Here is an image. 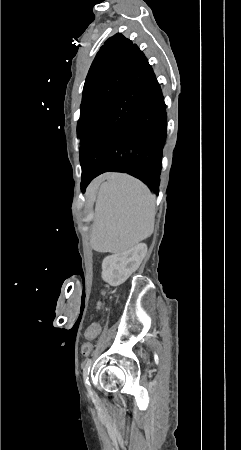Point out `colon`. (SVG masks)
Listing matches in <instances>:
<instances>
[{"label":"colon","mask_w":241,"mask_h":450,"mask_svg":"<svg viewBox=\"0 0 241 450\" xmlns=\"http://www.w3.org/2000/svg\"><path fill=\"white\" fill-rule=\"evenodd\" d=\"M99 302H102V301H99ZM100 328H101L100 321H91V323L87 325L86 330L88 333H95L96 330H100ZM93 351H94V347L92 346L91 343H87L81 348L82 355L86 356V357L89 356L90 354H92Z\"/></svg>","instance_id":"obj_1"}]
</instances>
